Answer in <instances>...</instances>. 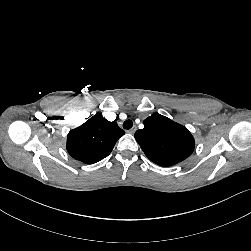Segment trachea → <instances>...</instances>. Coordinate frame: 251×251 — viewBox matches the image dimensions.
<instances>
[{
    "label": "trachea",
    "mask_w": 251,
    "mask_h": 251,
    "mask_svg": "<svg viewBox=\"0 0 251 251\" xmlns=\"http://www.w3.org/2000/svg\"><path fill=\"white\" fill-rule=\"evenodd\" d=\"M132 126H133V122L130 119L126 120L123 123V128L126 129V130L131 129Z\"/></svg>",
    "instance_id": "obj_1"
}]
</instances>
